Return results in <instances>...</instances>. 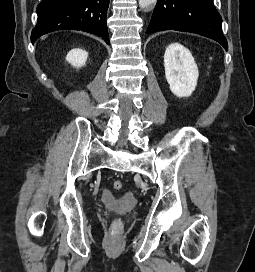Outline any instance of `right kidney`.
<instances>
[{
	"instance_id": "1",
	"label": "right kidney",
	"mask_w": 255,
	"mask_h": 272,
	"mask_svg": "<svg viewBox=\"0 0 255 272\" xmlns=\"http://www.w3.org/2000/svg\"><path fill=\"white\" fill-rule=\"evenodd\" d=\"M88 53L85 50L75 48L69 51L66 60L74 67L80 68L85 65Z\"/></svg>"
}]
</instances>
